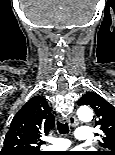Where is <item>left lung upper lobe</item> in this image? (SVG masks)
Instances as JSON below:
<instances>
[{
    "instance_id": "left-lung-upper-lobe-1",
    "label": "left lung upper lobe",
    "mask_w": 115,
    "mask_h": 155,
    "mask_svg": "<svg viewBox=\"0 0 115 155\" xmlns=\"http://www.w3.org/2000/svg\"><path fill=\"white\" fill-rule=\"evenodd\" d=\"M78 104L89 105L94 109L95 126H100L103 132L101 146L106 150L94 152L92 155H115V108L94 92L83 95Z\"/></svg>"
}]
</instances>
